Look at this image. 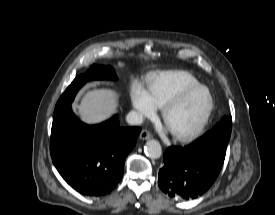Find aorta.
Listing matches in <instances>:
<instances>
[{
    "instance_id": "aorta-1",
    "label": "aorta",
    "mask_w": 275,
    "mask_h": 215,
    "mask_svg": "<svg viewBox=\"0 0 275 215\" xmlns=\"http://www.w3.org/2000/svg\"><path fill=\"white\" fill-rule=\"evenodd\" d=\"M145 154L151 159H158L162 155V147L157 140H149L145 145Z\"/></svg>"
}]
</instances>
